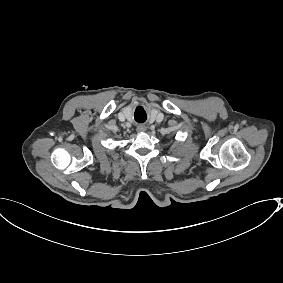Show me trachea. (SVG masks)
<instances>
[{
  "label": "trachea",
  "instance_id": "3493384b",
  "mask_svg": "<svg viewBox=\"0 0 283 283\" xmlns=\"http://www.w3.org/2000/svg\"><path fill=\"white\" fill-rule=\"evenodd\" d=\"M134 117L138 123H144L146 121L147 115L145 111L140 107L136 110Z\"/></svg>",
  "mask_w": 283,
  "mask_h": 283
}]
</instances>
